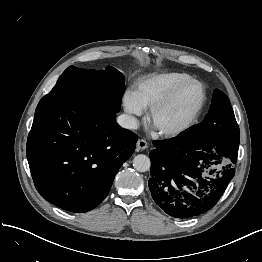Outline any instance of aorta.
<instances>
[{"label": "aorta", "mask_w": 262, "mask_h": 262, "mask_svg": "<svg viewBox=\"0 0 262 262\" xmlns=\"http://www.w3.org/2000/svg\"><path fill=\"white\" fill-rule=\"evenodd\" d=\"M133 167L138 171V172H146L150 169L151 167V161L148 156L144 154H139L134 157L133 159Z\"/></svg>", "instance_id": "aorta-1"}]
</instances>
